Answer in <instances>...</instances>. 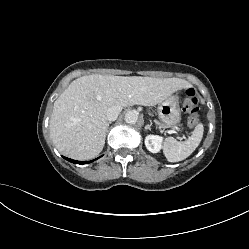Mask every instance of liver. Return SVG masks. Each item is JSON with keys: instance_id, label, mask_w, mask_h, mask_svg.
I'll return each instance as SVG.
<instances>
[{"instance_id": "liver-1", "label": "liver", "mask_w": 249, "mask_h": 249, "mask_svg": "<svg viewBox=\"0 0 249 249\" xmlns=\"http://www.w3.org/2000/svg\"><path fill=\"white\" fill-rule=\"evenodd\" d=\"M191 85L179 78L88 75L77 78L53 105L50 135L63 155L89 160L105 144L107 110L112 106H154Z\"/></svg>"}]
</instances>
